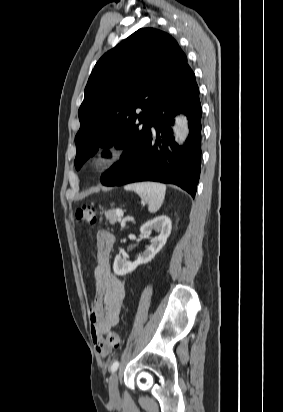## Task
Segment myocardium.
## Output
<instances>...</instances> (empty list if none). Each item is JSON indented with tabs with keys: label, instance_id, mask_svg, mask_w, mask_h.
Segmentation results:
<instances>
[{
	"label": "myocardium",
	"instance_id": "1",
	"mask_svg": "<svg viewBox=\"0 0 283 412\" xmlns=\"http://www.w3.org/2000/svg\"><path fill=\"white\" fill-rule=\"evenodd\" d=\"M124 154V148L118 144L100 147L91 157V167L97 173L106 172L120 162Z\"/></svg>",
	"mask_w": 283,
	"mask_h": 412
}]
</instances>
